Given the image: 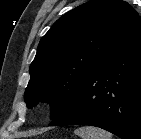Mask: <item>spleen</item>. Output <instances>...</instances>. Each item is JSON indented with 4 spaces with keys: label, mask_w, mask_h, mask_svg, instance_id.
<instances>
[{
    "label": "spleen",
    "mask_w": 141,
    "mask_h": 139,
    "mask_svg": "<svg viewBox=\"0 0 141 139\" xmlns=\"http://www.w3.org/2000/svg\"><path fill=\"white\" fill-rule=\"evenodd\" d=\"M81 139H112V134L94 126L81 127L75 130Z\"/></svg>",
    "instance_id": "1"
}]
</instances>
